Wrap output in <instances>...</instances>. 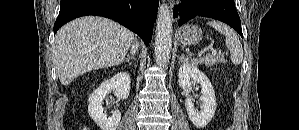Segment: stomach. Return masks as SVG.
I'll list each match as a JSON object with an SVG mask.
<instances>
[{"mask_svg": "<svg viewBox=\"0 0 299 130\" xmlns=\"http://www.w3.org/2000/svg\"><path fill=\"white\" fill-rule=\"evenodd\" d=\"M202 30L195 25L187 24L178 30V40L183 45H195L202 39Z\"/></svg>", "mask_w": 299, "mask_h": 130, "instance_id": "0dacf381", "label": "stomach"}]
</instances>
